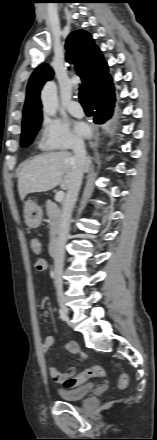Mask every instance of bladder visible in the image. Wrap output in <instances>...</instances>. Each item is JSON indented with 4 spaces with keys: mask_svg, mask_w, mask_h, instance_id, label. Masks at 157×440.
<instances>
[{
    "mask_svg": "<svg viewBox=\"0 0 157 440\" xmlns=\"http://www.w3.org/2000/svg\"><path fill=\"white\" fill-rule=\"evenodd\" d=\"M94 389V384L88 383L74 389H58V396L66 402H76L85 398Z\"/></svg>",
    "mask_w": 157,
    "mask_h": 440,
    "instance_id": "1",
    "label": "bladder"
}]
</instances>
